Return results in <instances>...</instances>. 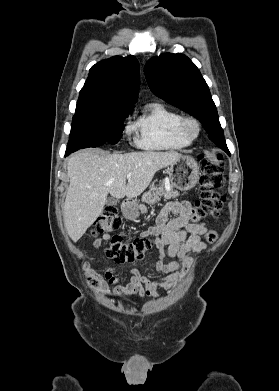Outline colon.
I'll use <instances>...</instances> for the list:
<instances>
[{
    "label": "colon",
    "mask_w": 279,
    "mask_h": 391,
    "mask_svg": "<svg viewBox=\"0 0 279 391\" xmlns=\"http://www.w3.org/2000/svg\"><path fill=\"white\" fill-rule=\"evenodd\" d=\"M200 201L193 209L192 215L195 219L221 217L222 208L225 202L224 195L219 191L226 179L224 175V164L218 156L215 159L202 157L200 159ZM122 222L114 207H107L102 215L96 220L93 233L109 234L121 230ZM217 234L209 231L205 235L208 242H214ZM109 246L106 255L117 263H127L141 260L152 249L154 242L148 237H137L131 241H124L123 234L118 233L109 236ZM116 281L111 270L103 276H91L89 282L95 289L106 290L109 285Z\"/></svg>",
    "instance_id": "1"
}]
</instances>
